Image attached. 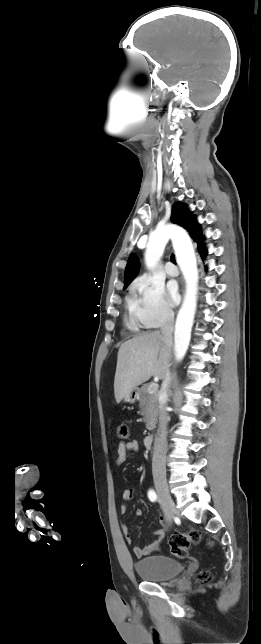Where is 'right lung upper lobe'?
<instances>
[{"label":"right lung upper lobe","instance_id":"cb5924a9","mask_svg":"<svg viewBox=\"0 0 261 644\" xmlns=\"http://www.w3.org/2000/svg\"><path fill=\"white\" fill-rule=\"evenodd\" d=\"M171 221L175 224H178L184 227L192 237V239L198 244L200 249L201 256L206 254V250L202 249L201 241L204 239L199 230V224L195 218L191 215L190 211L187 209V206L181 202H176L172 206ZM139 271V262L135 255L131 254L129 256L125 274H124V287H127L130 282L134 279L136 274Z\"/></svg>","mask_w":261,"mask_h":644}]
</instances>
